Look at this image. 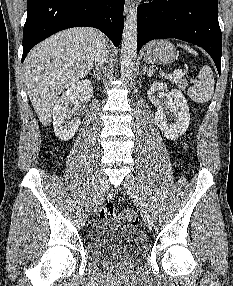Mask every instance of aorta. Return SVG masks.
Returning <instances> with one entry per match:
<instances>
[{
    "label": "aorta",
    "mask_w": 233,
    "mask_h": 286,
    "mask_svg": "<svg viewBox=\"0 0 233 286\" xmlns=\"http://www.w3.org/2000/svg\"><path fill=\"white\" fill-rule=\"evenodd\" d=\"M137 57V14L134 9L129 10L126 18L121 45V77L130 79Z\"/></svg>",
    "instance_id": "762f6f07"
}]
</instances>
